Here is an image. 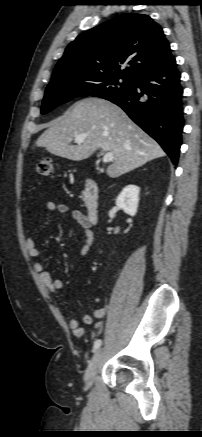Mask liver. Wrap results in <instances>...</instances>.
Instances as JSON below:
<instances>
[{
    "label": "liver",
    "mask_w": 202,
    "mask_h": 437,
    "mask_svg": "<svg viewBox=\"0 0 202 437\" xmlns=\"http://www.w3.org/2000/svg\"><path fill=\"white\" fill-rule=\"evenodd\" d=\"M81 134L86 136L84 142L71 145ZM36 146L73 161L87 159L98 149L112 152L114 159L107 168L110 178L165 156L160 145L120 107L99 98L80 100L67 114L53 120Z\"/></svg>",
    "instance_id": "obj_1"
}]
</instances>
